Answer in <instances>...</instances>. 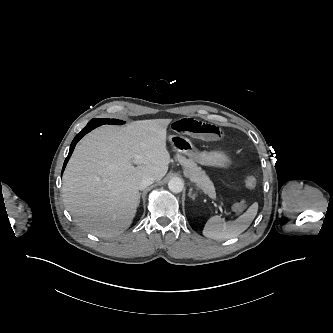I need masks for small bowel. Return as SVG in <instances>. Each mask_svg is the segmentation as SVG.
<instances>
[{
  "label": "small bowel",
  "mask_w": 333,
  "mask_h": 333,
  "mask_svg": "<svg viewBox=\"0 0 333 333\" xmlns=\"http://www.w3.org/2000/svg\"><path fill=\"white\" fill-rule=\"evenodd\" d=\"M170 127L177 134L191 136L204 141L218 140L223 136V132L218 126L194 118L175 120Z\"/></svg>",
  "instance_id": "small-bowel-1"
}]
</instances>
